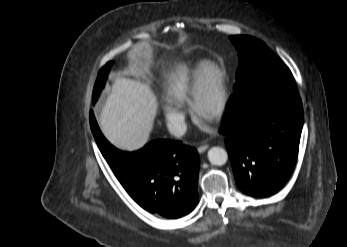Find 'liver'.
<instances>
[{"mask_svg":"<svg viewBox=\"0 0 347 247\" xmlns=\"http://www.w3.org/2000/svg\"><path fill=\"white\" fill-rule=\"evenodd\" d=\"M157 108V97L147 82L120 76L102 108L99 126L116 148L137 151L150 139Z\"/></svg>","mask_w":347,"mask_h":247,"instance_id":"1","label":"liver"}]
</instances>
